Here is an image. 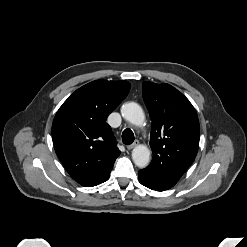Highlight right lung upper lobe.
<instances>
[{"label": "right lung upper lobe", "mask_w": 247, "mask_h": 247, "mask_svg": "<svg viewBox=\"0 0 247 247\" xmlns=\"http://www.w3.org/2000/svg\"><path fill=\"white\" fill-rule=\"evenodd\" d=\"M129 90L127 81L90 82L77 89L55 115L52 139L56 154L82 186L99 185L110 176L121 152L106 119Z\"/></svg>", "instance_id": "right-lung-upper-lobe-1"}]
</instances>
